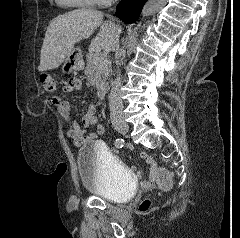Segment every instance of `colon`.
I'll return each mask as SVG.
<instances>
[{
	"instance_id": "colon-1",
	"label": "colon",
	"mask_w": 240,
	"mask_h": 238,
	"mask_svg": "<svg viewBox=\"0 0 240 238\" xmlns=\"http://www.w3.org/2000/svg\"><path fill=\"white\" fill-rule=\"evenodd\" d=\"M41 84L45 91L47 92H54L56 90V80L53 77V75L49 73H43L40 77ZM155 179L158 183V185L164 189L167 190L172 186V178L169 172L164 168H157L155 171ZM150 206V201L144 200L140 204L141 210H147Z\"/></svg>"
}]
</instances>
